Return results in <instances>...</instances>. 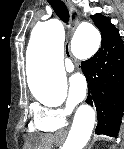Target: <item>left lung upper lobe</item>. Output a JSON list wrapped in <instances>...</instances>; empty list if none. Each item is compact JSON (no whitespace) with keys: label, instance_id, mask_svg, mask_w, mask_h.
Segmentation results:
<instances>
[{"label":"left lung upper lobe","instance_id":"1","mask_svg":"<svg viewBox=\"0 0 124 149\" xmlns=\"http://www.w3.org/2000/svg\"><path fill=\"white\" fill-rule=\"evenodd\" d=\"M95 22V25L101 32L102 37L116 36L119 35L118 30L114 27V25L110 22L107 17L96 14L91 16Z\"/></svg>","mask_w":124,"mask_h":149}]
</instances>
